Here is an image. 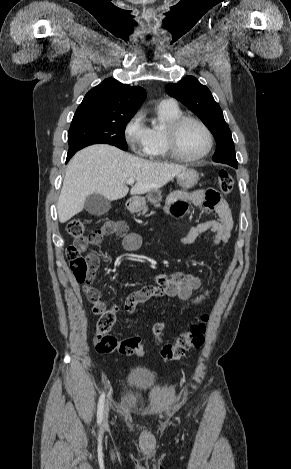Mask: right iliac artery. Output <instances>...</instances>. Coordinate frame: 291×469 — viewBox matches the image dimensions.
Wrapping results in <instances>:
<instances>
[{
  "label": "right iliac artery",
  "instance_id": "right-iliac-artery-1",
  "mask_svg": "<svg viewBox=\"0 0 291 469\" xmlns=\"http://www.w3.org/2000/svg\"><path fill=\"white\" fill-rule=\"evenodd\" d=\"M104 403H105V394L102 393L99 401H98V408H97V421L101 423L103 420V410H104Z\"/></svg>",
  "mask_w": 291,
  "mask_h": 469
}]
</instances>
